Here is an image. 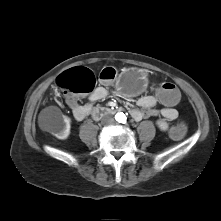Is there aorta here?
I'll use <instances>...</instances> for the list:
<instances>
[{"label":"aorta","mask_w":221,"mask_h":221,"mask_svg":"<svg viewBox=\"0 0 221 221\" xmlns=\"http://www.w3.org/2000/svg\"><path fill=\"white\" fill-rule=\"evenodd\" d=\"M115 118L117 121L121 122L125 118V115L122 112H120L116 114Z\"/></svg>","instance_id":"1"}]
</instances>
